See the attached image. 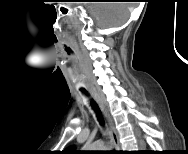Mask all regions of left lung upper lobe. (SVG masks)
<instances>
[{"label": "left lung upper lobe", "mask_w": 188, "mask_h": 154, "mask_svg": "<svg viewBox=\"0 0 188 154\" xmlns=\"http://www.w3.org/2000/svg\"><path fill=\"white\" fill-rule=\"evenodd\" d=\"M66 151L70 152V153H75V147L71 146L69 147Z\"/></svg>", "instance_id": "obj_1"}]
</instances>
